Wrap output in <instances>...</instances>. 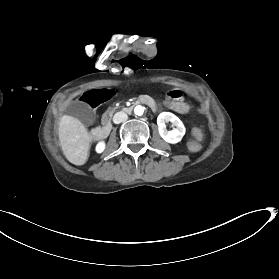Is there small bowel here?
Listing matches in <instances>:
<instances>
[{"label":"small bowel","instance_id":"obj_1","mask_svg":"<svg viewBox=\"0 0 279 279\" xmlns=\"http://www.w3.org/2000/svg\"><path fill=\"white\" fill-rule=\"evenodd\" d=\"M185 91L179 87H168L167 97L172 101H179L183 98Z\"/></svg>","mask_w":279,"mask_h":279}]
</instances>
